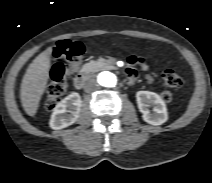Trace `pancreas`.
<instances>
[{
  "label": "pancreas",
  "mask_w": 212,
  "mask_h": 183,
  "mask_svg": "<svg viewBox=\"0 0 212 183\" xmlns=\"http://www.w3.org/2000/svg\"><path fill=\"white\" fill-rule=\"evenodd\" d=\"M111 61L98 60L91 61L86 65L87 71H98V70H115L116 67L112 65Z\"/></svg>",
  "instance_id": "cf45deb5"
}]
</instances>
